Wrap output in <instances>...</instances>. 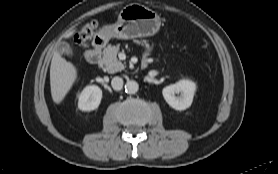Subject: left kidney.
Wrapping results in <instances>:
<instances>
[{"label": "left kidney", "mask_w": 278, "mask_h": 174, "mask_svg": "<svg viewBox=\"0 0 278 174\" xmlns=\"http://www.w3.org/2000/svg\"><path fill=\"white\" fill-rule=\"evenodd\" d=\"M196 85L189 80H181L175 84L166 86L162 90L165 101L175 110H185L192 104ZM176 96L175 94H179Z\"/></svg>", "instance_id": "1"}]
</instances>
